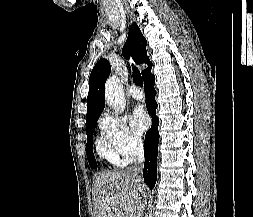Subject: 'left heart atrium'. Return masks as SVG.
<instances>
[{
    "mask_svg": "<svg viewBox=\"0 0 253 217\" xmlns=\"http://www.w3.org/2000/svg\"><path fill=\"white\" fill-rule=\"evenodd\" d=\"M131 123L139 132H144L149 127L150 118L142 106L138 105L134 108L131 115Z\"/></svg>",
    "mask_w": 253,
    "mask_h": 217,
    "instance_id": "1",
    "label": "left heart atrium"
}]
</instances>
